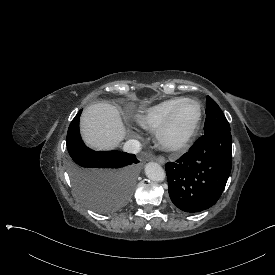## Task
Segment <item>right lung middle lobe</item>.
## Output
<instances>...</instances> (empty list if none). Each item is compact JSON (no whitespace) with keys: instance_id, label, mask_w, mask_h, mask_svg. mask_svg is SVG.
<instances>
[{"instance_id":"dd1d6c3e","label":"right lung middle lobe","mask_w":275,"mask_h":275,"mask_svg":"<svg viewBox=\"0 0 275 275\" xmlns=\"http://www.w3.org/2000/svg\"><path fill=\"white\" fill-rule=\"evenodd\" d=\"M81 112L70 123L66 139L73 189L93 211L112 214L130 200L140 174V161L126 152H97L88 148L79 132Z\"/></svg>"}]
</instances>
